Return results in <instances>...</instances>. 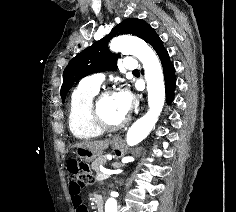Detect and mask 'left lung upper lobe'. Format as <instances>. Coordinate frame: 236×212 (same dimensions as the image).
<instances>
[{"label":"left lung upper lobe","mask_w":236,"mask_h":212,"mask_svg":"<svg viewBox=\"0 0 236 212\" xmlns=\"http://www.w3.org/2000/svg\"><path fill=\"white\" fill-rule=\"evenodd\" d=\"M152 29L142 19H125L113 28L107 36L76 55L63 72V84L61 87L62 102L65 101L69 89L81 78L92 73L116 69L119 54L111 53L108 49V43L113 37L120 34H132L146 41Z\"/></svg>","instance_id":"5c2ea615"}]
</instances>
